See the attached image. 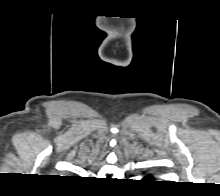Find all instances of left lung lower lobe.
Here are the masks:
<instances>
[{
  "label": "left lung lower lobe",
  "mask_w": 220,
  "mask_h": 196,
  "mask_svg": "<svg viewBox=\"0 0 220 196\" xmlns=\"http://www.w3.org/2000/svg\"><path fill=\"white\" fill-rule=\"evenodd\" d=\"M144 180H151V177L147 176Z\"/></svg>",
  "instance_id": "1"
}]
</instances>
